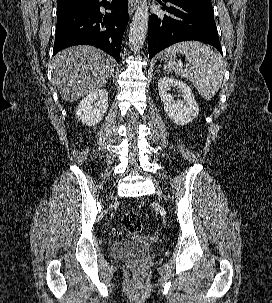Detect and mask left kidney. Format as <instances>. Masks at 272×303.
I'll use <instances>...</instances> for the list:
<instances>
[{
	"label": "left kidney",
	"mask_w": 272,
	"mask_h": 303,
	"mask_svg": "<svg viewBox=\"0 0 272 303\" xmlns=\"http://www.w3.org/2000/svg\"><path fill=\"white\" fill-rule=\"evenodd\" d=\"M176 88L182 93L183 100L174 101L170 90ZM158 91L167 116L177 125L192 122L199 114V106L191 88L183 81L173 77H161Z\"/></svg>",
	"instance_id": "1"
}]
</instances>
